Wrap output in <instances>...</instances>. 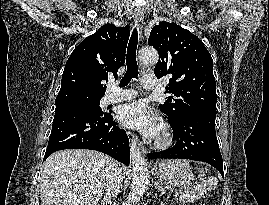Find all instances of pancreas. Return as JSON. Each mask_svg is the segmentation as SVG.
<instances>
[{
  "mask_svg": "<svg viewBox=\"0 0 269 205\" xmlns=\"http://www.w3.org/2000/svg\"><path fill=\"white\" fill-rule=\"evenodd\" d=\"M183 198H184V199H188V197H186V196H183Z\"/></svg>",
  "mask_w": 269,
  "mask_h": 205,
  "instance_id": "cf45deb5",
  "label": "pancreas"
}]
</instances>
